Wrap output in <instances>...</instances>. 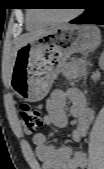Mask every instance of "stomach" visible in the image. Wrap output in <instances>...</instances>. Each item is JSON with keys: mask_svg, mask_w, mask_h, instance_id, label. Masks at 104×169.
<instances>
[{"mask_svg": "<svg viewBox=\"0 0 104 169\" xmlns=\"http://www.w3.org/2000/svg\"><path fill=\"white\" fill-rule=\"evenodd\" d=\"M100 41V31L90 25H64L50 30L18 49L11 70V89L26 101L43 99L70 55L92 50Z\"/></svg>", "mask_w": 104, "mask_h": 169, "instance_id": "0dacf381", "label": "stomach"}]
</instances>
